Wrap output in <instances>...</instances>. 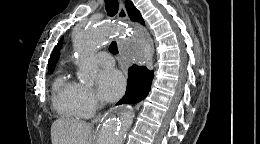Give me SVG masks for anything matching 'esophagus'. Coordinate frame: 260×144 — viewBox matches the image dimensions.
<instances>
[{
    "label": "esophagus",
    "instance_id": "obj_1",
    "mask_svg": "<svg viewBox=\"0 0 260 144\" xmlns=\"http://www.w3.org/2000/svg\"><path fill=\"white\" fill-rule=\"evenodd\" d=\"M118 20L122 22H126L128 20L127 11L123 2H120L119 12H118Z\"/></svg>",
    "mask_w": 260,
    "mask_h": 144
}]
</instances>
